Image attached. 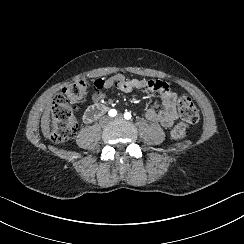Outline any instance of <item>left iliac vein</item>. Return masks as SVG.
<instances>
[{
    "label": "left iliac vein",
    "instance_id": "left-iliac-vein-1",
    "mask_svg": "<svg viewBox=\"0 0 244 244\" xmlns=\"http://www.w3.org/2000/svg\"><path fill=\"white\" fill-rule=\"evenodd\" d=\"M122 119V115L118 114L115 118H113L112 120H121Z\"/></svg>",
    "mask_w": 244,
    "mask_h": 244
}]
</instances>
